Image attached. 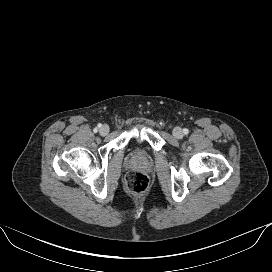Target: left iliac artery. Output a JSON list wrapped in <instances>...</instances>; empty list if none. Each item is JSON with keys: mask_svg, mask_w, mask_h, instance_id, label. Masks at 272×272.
<instances>
[{"mask_svg": "<svg viewBox=\"0 0 272 272\" xmlns=\"http://www.w3.org/2000/svg\"><path fill=\"white\" fill-rule=\"evenodd\" d=\"M183 132H184V134H188L189 131H188V129L185 128V129H183Z\"/></svg>", "mask_w": 272, "mask_h": 272, "instance_id": "44dca946", "label": "left iliac artery"}]
</instances>
